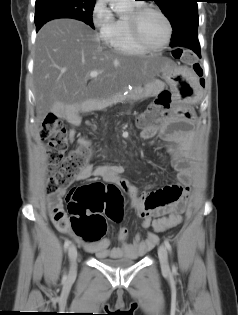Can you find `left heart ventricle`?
<instances>
[{
    "mask_svg": "<svg viewBox=\"0 0 238 315\" xmlns=\"http://www.w3.org/2000/svg\"><path fill=\"white\" fill-rule=\"evenodd\" d=\"M140 32L143 40L152 46L162 44L167 36L164 20L154 12H147L140 21Z\"/></svg>",
    "mask_w": 238,
    "mask_h": 315,
    "instance_id": "1",
    "label": "left heart ventricle"
}]
</instances>
